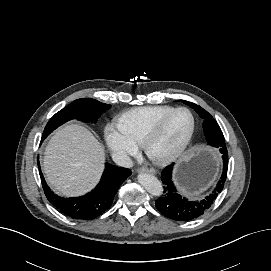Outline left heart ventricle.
I'll return each instance as SVG.
<instances>
[{"instance_id":"obj_1","label":"left heart ventricle","mask_w":271,"mask_h":271,"mask_svg":"<svg viewBox=\"0 0 271 271\" xmlns=\"http://www.w3.org/2000/svg\"><path fill=\"white\" fill-rule=\"evenodd\" d=\"M191 125V117L187 112L180 111L174 114L153 143L152 152L164 154L179 147L190 133Z\"/></svg>"}]
</instances>
